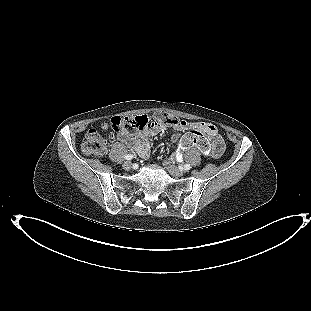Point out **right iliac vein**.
Here are the masks:
<instances>
[{
    "mask_svg": "<svg viewBox=\"0 0 311 311\" xmlns=\"http://www.w3.org/2000/svg\"><path fill=\"white\" fill-rule=\"evenodd\" d=\"M123 167L125 169H130L132 167V163L130 161H126L123 163Z\"/></svg>",
    "mask_w": 311,
    "mask_h": 311,
    "instance_id": "1",
    "label": "right iliac vein"
}]
</instances>
